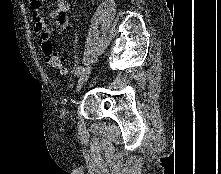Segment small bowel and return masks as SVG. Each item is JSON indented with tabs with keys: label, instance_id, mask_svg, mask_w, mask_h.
<instances>
[{
	"label": "small bowel",
	"instance_id": "c3829d8e",
	"mask_svg": "<svg viewBox=\"0 0 221 174\" xmlns=\"http://www.w3.org/2000/svg\"><path fill=\"white\" fill-rule=\"evenodd\" d=\"M45 1L29 0V4L37 30L41 34L47 33L52 37L66 30L69 23L68 12L70 4L67 0H56L54 9L48 15V19L54 22L53 26H50L47 19L41 14L42 4Z\"/></svg>",
	"mask_w": 221,
	"mask_h": 174
}]
</instances>
